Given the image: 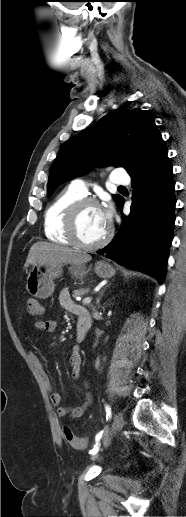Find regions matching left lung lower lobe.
Instances as JSON below:
<instances>
[{
    "label": "left lung lower lobe",
    "mask_w": 186,
    "mask_h": 517,
    "mask_svg": "<svg viewBox=\"0 0 186 517\" xmlns=\"http://www.w3.org/2000/svg\"><path fill=\"white\" fill-rule=\"evenodd\" d=\"M162 138L129 173L133 191L130 214L115 238L98 254L126 268L153 275L163 282L175 222V183ZM122 198L118 206L122 208Z\"/></svg>",
    "instance_id": "left-lung-lower-lobe-1"
}]
</instances>
